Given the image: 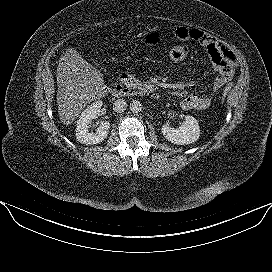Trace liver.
<instances>
[{
  "instance_id": "liver-1",
  "label": "liver",
  "mask_w": 272,
  "mask_h": 272,
  "mask_svg": "<svg viewBox=\"0 0 272 272\" xmlns=\"http://www.w3.org/2000/svg\"><path fill=\"white\" fill-rule=\"evenodd\" d=\"M56 76L58 113L66 126L73 123L88 103L106 94L103 74L73 48L61 56Z\"/></svg>"
}]
</instances>
